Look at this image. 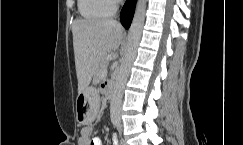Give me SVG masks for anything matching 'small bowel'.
Listing matches in <instances>:
<instances>
[{
  "label": "small bowel",
  "mask_w": 243,
  "mask_h": 145,
  "mask_svg": "<svg viewBox=\"0 0 243 145\" xmlns=\"http://www.w3.org/2000/svg\"><path fill=\"white\" fill-rule=\"evenodd\" d=\"M113 141H117V138L113 136ZM78 145H103L102 140L99 137L93 136L91 128H83L78 139Z\"/></svg>",
  "instance_id": "1"
}]
</instances>
